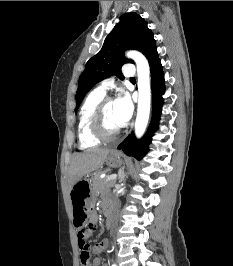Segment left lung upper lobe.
Instances as JSON below:
<instances>
[{
    "label": "left lung upper lobe",
    "mask_w": 233,
    "mask_h": 266,
    "mask_svg": "<svg viewBox=\"0 0 233 266\" xmlns=\"http://www.w3.org/2000/svg\"><path fill=\"white\" fill-rule=\"evenodd\" d=\"M155 47L153 32L140 15L134 12L122 15L120 22L106 37L101 50L86 63V68L80 75L75 111L95 84L113 74L121 78L122 65L133 63L125 58V50L136 49L146 56Z\"/></svg>",
    "instance_id": "obj_1"
}]
</instances>
